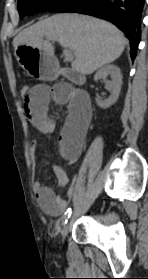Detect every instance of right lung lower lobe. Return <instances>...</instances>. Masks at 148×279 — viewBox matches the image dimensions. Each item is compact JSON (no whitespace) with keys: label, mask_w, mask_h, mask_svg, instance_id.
<instances>
[{"label":"right lung lower lobe","mask_w":148,"mask_h":279,"mask_svg":"<svg viewBox=\"0 0 148 279\" xmlns=\"http://www.w3.org/2000/svg\"><path fill=\"white\" fill-rule=\"evenodd\" d=\"M144 2L145 0H79L58 11L88 14L114 23L129 38L133 60L140 42Z\"/></svg>","instance_id":"1"}]
</instances>
